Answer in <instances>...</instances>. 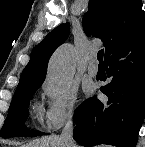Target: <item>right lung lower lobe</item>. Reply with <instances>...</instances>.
Here are the masks:
<instances>
[{
	"mask_svg": "<svg viewBox=\"0 0 145 147\" xmlns=\"http://www.w3.org/2000/svg\"><path fill=\"white\" fill-rule=\"evenodd\" d=\"M111 82L100 88L108 101L91 98L75 111L73 137L83 146L135 147L145 118V25L104 60Z\"/></svg>",
	"mask_w": 145,
	"mask_h": 147,
	"instance_id": "1",
	"label": "right lung lower lobe"
}]
</instances>
